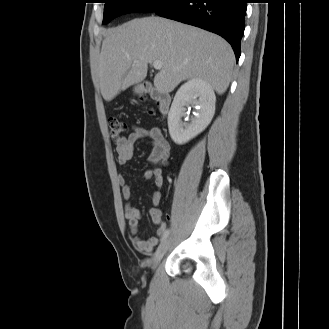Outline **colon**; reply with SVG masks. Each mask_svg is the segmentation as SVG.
<instances>
[{
    "label": "colon",
    "mask_w": 329,
    "mask_h": 329,
    "mask_svg": "<svg viewBox=\"0 0 329 329\" xmlns=\"http://www.w3.org/2000/svg\"><path fill=\"white\" fill-rule=\"evenodd\" d=\"M108 126L110 130V136L114 140L122 138L127 131L126 124L115 117H112L108 120Z\"/></svg>",
    "instance_id": "obj_1"
}]
</instances>
